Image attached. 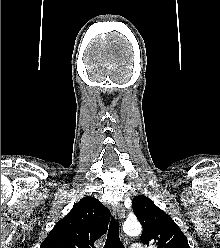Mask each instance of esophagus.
Masks as SVG:
<instances>
[{"instance_id": "1", "label": "esophagus", "mask_w": 220, "mask_h": 248, "mask_svg": "<svg viewBox=\"0 0 220 248\" xmlns=\"http://www.w3.org/2000/svg\"><path fill=\"white\" fill-rule=\"evenodd\" d=\"M113 214L116 219H118L119 221H122L125 217L124 207L119 203L113 205Z\"/></svg>"}]
</instances>
